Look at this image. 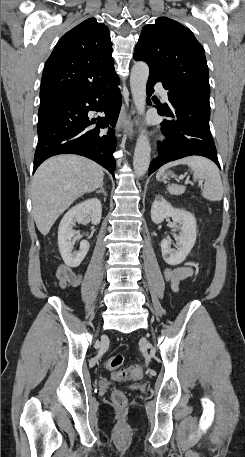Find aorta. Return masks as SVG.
Instances as JSON below:
<instances>
[{
	"label": "aorta",
	"mask_w": 245,
	"mask_h": 457,
	"mask_svg": "<svg viewBox=\"0 0 245 457\" xmlns=\"http://www.w3.org/2000/svg\"><path fill=\"white\" fill-rule=\"evenodd\" d=\"M149 77V67L145 62H136L130 74V87L133 96L134 105L139 114H143L146 105V84ZM150 153L151 146L146 135V131L143 129L137 139L134 158L133 168L137 177L145 175L150 164Z\"/></svg>",
	"instance_id": "aorta-1"
}]
</instances>
